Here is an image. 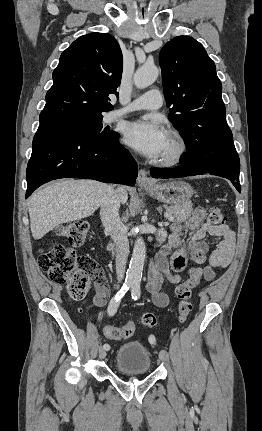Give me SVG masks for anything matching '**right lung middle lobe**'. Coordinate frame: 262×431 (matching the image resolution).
<instances>
[{"instance_id":"dd1d6c3e","label":"right lung middle lobe","mask_w":262,"mask_h":431,"mask_svg":"<svg viewBox=\"0 0 262 431\" xmlns=\"http://www.w3.org/2000/svg\"><path fill=\"white\" fill-rule=\"evenodd\" d=\"M102 118L103 116L73 119L57 125L74 129L89 137H96L101 139L113 138L118 133L114 131H108L107 129H102Z\"/></svg>"}]
</instances>
